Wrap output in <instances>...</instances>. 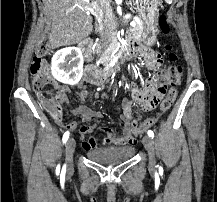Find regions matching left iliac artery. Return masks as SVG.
Returning <instances> with one entry per match:
<instances>
[{
  "label": "left iliac artery",
  "instance_id": "obj_1",
  "mask_svg": "<svg viewBox=\"0 0 217 202\" xmlns=\"http://www.w3.org/2000/svg\"><path fill=\"white\" fill-rule=\"evenodd\" d=\"M147 134L149 137H152V138L154 137V133L152 130H148Z\"/></svg>",
  "mask_w": 217,
  "mask_h": 202
}]
</instances>
